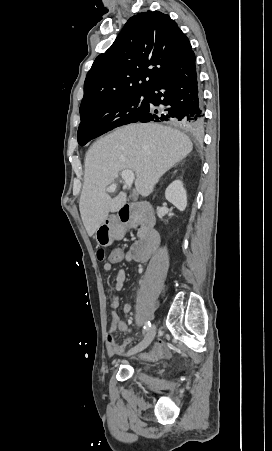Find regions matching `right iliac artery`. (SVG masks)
<instances>
[{
    "instance_id": "82829eb1",
    "label": "right iliac artery",
    "mask_w": 272,
    "mask_h": 451,
    "mask_svg": "<svg viewBox=\"0 0 272 451\" xmlns=\"http://www.w3.org/2000/svg\"><path fill=\"white\" fill-rule=\"evenodd\" d=\"M150 327H151V323H150V321H147V322L145 323L143 329H144V331H147V330L150 329Z\"/></svg>"
}]
</instances>
